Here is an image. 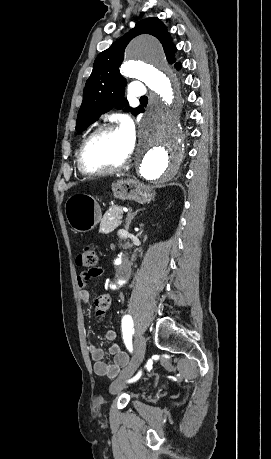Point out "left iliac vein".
Returning <instances> with one entry per match:
<instances>
[{"label":"left iliac vein","instance_id":"1","mask_svg":"<svg viewBox=\"0 0 271 459\" xmlns=\"http://www.w3.org/2000/svg\"><path fill=\"white\" fill-rule=\"evenodd\" d=\"M145 353L146 341L143 334H141L137 336L135 340L134 357L129 362L128 366L123 369L119 378L110 385L109 391L111 394H117L125 387L126 383L124 381L135 373L140 362L144 359Z\"/></svg>","mask_w":271,"mask_h":459}]
</instances>
